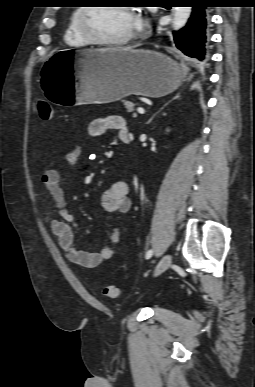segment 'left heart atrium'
<instances>
[{"label":"left heart atrium","mask_w":255,"mask_h":387,"mask_svg":"<svg viewBox=\"0 0 255 387\" xmlns=\"http://www.w3.org/2000/svg\"><path fill=\"white\" fill-rule=\"evenodd\" d=\"M145 26V23L142 19L134 17V31H139Z\"/></svg>","instance_id":"left-heart-atrium-1"}]
</instances>
